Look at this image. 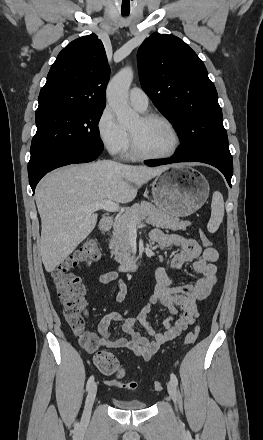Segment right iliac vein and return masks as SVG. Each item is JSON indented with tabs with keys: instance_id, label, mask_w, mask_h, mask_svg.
Here are the masks:
<instances>
[{
	"instance_id": "1",
	"label": "right iliac vein",
	"mask_w": 263,
	"mask_h": 440,
	"mask_svg": "<svg viewBox=\"0 0 263 440\" xmlns=\"http://www.w3.org/2000/svg\"><path fill=\"white\" fill-rule=\"evenodd\" d=\"M96 394H97V384L94 383L90 388L86 398L85 408L81 419V424L83 427H87L90 422L91 411L96 398Z\"/></svg>"
}]
</instances>
